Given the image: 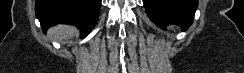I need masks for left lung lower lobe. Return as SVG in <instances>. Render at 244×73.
Returning a JSON list of instances; mask_svg holds the SVG:
<instances>
[{
    "mask_svg": "<svg viewBox=\"0 0 244 73\" xmlns=\"http://www.w3.org/2000/svg\"><path fill=\"white\" fill-rule=\"evenodd\" d=\"M150 19L159 27L178 24L187 29L193 21L197 0H143Z\"/></svg>",
    "mask_w": 244,
    "mask_h": 73,
    "instance_id": "obj_1",
    "label": "left lung lower lobe"
}]
</instances>
